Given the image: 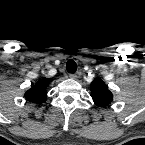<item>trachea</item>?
Returning <instances> with one entry per match:
<instances>
[{"label": "trachea", "instance_id": "trachea-1", "mask_svg": "<svg viewBox=\"0 0 145 145\" xmlns=\"http://www.w3.org/2000/svg\"><path fill=\"white\" fill-rule=\"evenodd\" d=\"M66 69L69 73H75L77 70V64L74 60L70 59L66 63Z\"/></svg>", "mask_w": 145, "mask_h": 145}]
</instances>
